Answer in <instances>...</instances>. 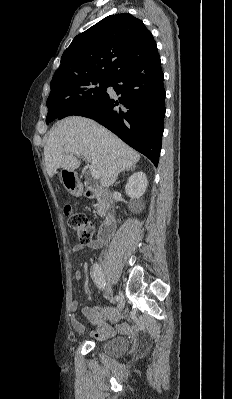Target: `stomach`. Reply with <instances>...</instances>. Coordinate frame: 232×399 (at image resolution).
<instances>
[{"label": "stomach", "instance_id": "0dacf381", "mask_svg": "<svg viewBox=\"0 0 232 399\" xmlns=\"http://www.w3.org/2000/svg\"><path fill=\"white\" fill-rule=\"evenodd\" d=\"M59 176L64 188H66L70 194H76L78 188H81L76 172H69V170H64L63 168Z\"/></svg>", "mask_w": 232, "mask_h": 399}]
</instances>
